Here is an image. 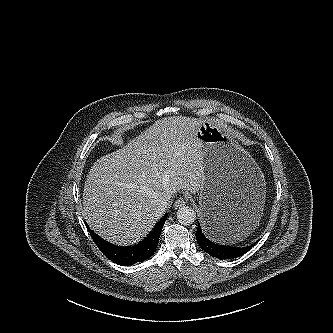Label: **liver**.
<instances>
[{"mask_svg": "<svg viewBox=\"0 0 333 333\" xmlns=\"http://www.w3.org/2000/svg\"><path fill=\"white\" fill-rule=\"evenodd\" d=\"M202 123L184 116L162 118L98 159L84 185L82 215L89 227L109 242L131 245L163 216L161 200L179 190L198 192L204 181L197 137Z\"/></svg>", "mask_w": 333, "mask_h": 333, "instance_id": "obj_1", "label": "liver"}]
</instances>
